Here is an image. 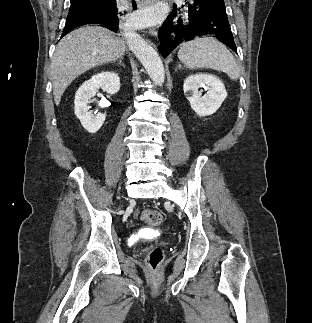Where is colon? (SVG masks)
Masks as SVG:
<instances>
[{
  "label": "colon",
  "instance_id": "colon-1",
  "mask_svg": "<svg viewBox=\"0 0 312 323\" xmlns=\"http://www.w3.org/2000/svg\"><path fill=\"white\" fill-rule=\"evenodd\" d=\"M142 219L151 225H158L163 221V214L154 209L145 208L142 211ZM163 258V253L161 248H154L148 254V262L150 269H159V262Z\"/></svg>",
  "mask_w": 312,
  "mask_h": 323
}]
</instances>
